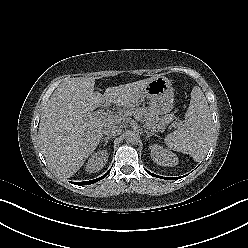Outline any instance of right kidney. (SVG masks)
Here are the masks:
<instances>
[{
    "instance_id": "right-kidney-1",
    "label": "right kidney",
    "mask_w": 248,
    "mask_h": 248,
    "mask_svg": "<svg viewBox=\"0 0 248 248\" xmlns=\"http://www.w3.org/2000/svg\"><path fill=\"white\" fill-rule=\"evenodd\" d=\"M108 157L109 155L106 150H99L95 152L88 159L86 164V171L89 173L98 172L105 166L106 162L108 161Z\"/></svg>"
}]
</instances>
